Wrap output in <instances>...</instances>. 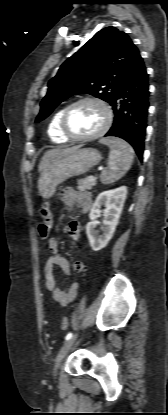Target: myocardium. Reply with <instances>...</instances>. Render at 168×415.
Wrapping results in <instances>:
<instances>
[{
  "label": "myocardium",
  "instance_id": "1",
  "mask_svg": "<svg viewBox=\"0 0 168 415\" xmlns=\"http://www.w3.org/2000/svg\"><path fill=\"white\" fill-rule=\"evenodd\" d=\"M85 102H93L101 106L105 113V120H104L102 127L97 132L91 135H87V136H77V135H74L68 128V117L74 107ZM112 119H113L112 110L105 101L97 97H83L72 102L71 104H69L67 107L64 108L61 119H60V130L62 134L71 141H76V142L91 141V140L100 138L109 130L112 124Z\"/></svg>",
  "mask_w": 168,
  "mask_h": 415
}]
</instances>
